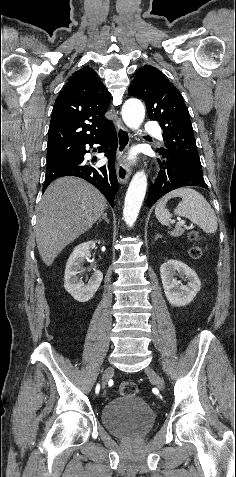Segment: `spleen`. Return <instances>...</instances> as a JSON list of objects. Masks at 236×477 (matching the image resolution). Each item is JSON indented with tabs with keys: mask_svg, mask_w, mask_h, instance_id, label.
Returning <instances> with one entry per match:
<instances>
[{
	"mask_svg": "<svg viewBox=\"0 0 236 477\" xmlns=\"http://www.w3.org/2000/svg\"><path fill=\"white\" fill-rule=\"evenodd\" d=\"M174 197L182 198V201L174 210L175 215L188 218L207 234L216 232L218 223L214 210L207 200L192 188L173 190L157 203L155 215L161 224L170 227L172 214L166 209V204L169 199Z\"/></svg>",
	"mask_w": 236,
	"mask_h": 477,
	"instance_id": "1",
	"label": "spleen"
}]
</instances>
